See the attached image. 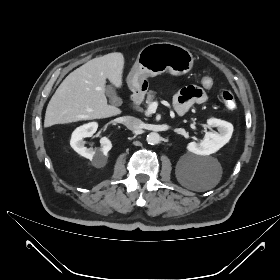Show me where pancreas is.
<instances>
[{
  "label": "pancreas",
  "mask_w": 280,
  "mask_h": 280,
  "mask_svg": "<svg viewBox=\"0 0 280 280\" xmlns=\"http://www.w3.org/2000/svg\"><path fill=\"white\" fill-rule=\"evenodd\" d=\"M154 99H155V92L150 90L147 93L146 104L150 105L153 102Z\"/></svg>",
  "instance_id": "obj_1"
}]
</instances>
